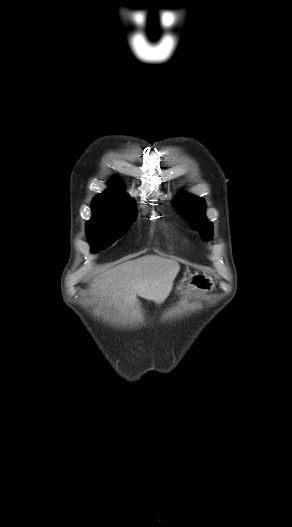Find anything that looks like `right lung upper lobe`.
I'll return each instance as SVG.
<instances>
[{"instance_id":"cb5924a9","label":"right lung upper lobe","mask_w":292,"mask_h":527,"mask_svg":"<svg viewBox=\"0 0 292 527\" xmlns=\"http://www.w3.org/2000/svg\"><path fill=\"white\" fill-rule=\"evenodd\" d=\"M110 186L111 188H109L104 193L99 194L94 199V201L105 202V203L114 204V205L133 207V204L130 198L122 190L123 186L119 179L114 178L110 182Z\"/></svg>"}]
</instances>
